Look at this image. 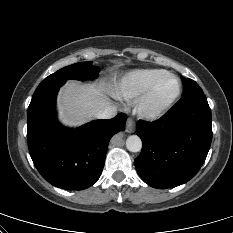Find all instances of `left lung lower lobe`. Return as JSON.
<instances>
[{
  "instance_id": "1",
  "label": "left lung lower lobe",
  "mask_w": 233,
  "mask_h": 233,
  "mask_svg": "<svg viewBox=\"0 0 233 233\" xmlns=\"http://www.w3.org/2000/svg\"><path fill=\"white\" fill-rule=\"evenodd\" d=\"M143 142L135 167L148 185L166 189L193 178L212 140L211 109L204 94L184 96L162 118L138 121Z\"/></svg>"
}]
</instances>
